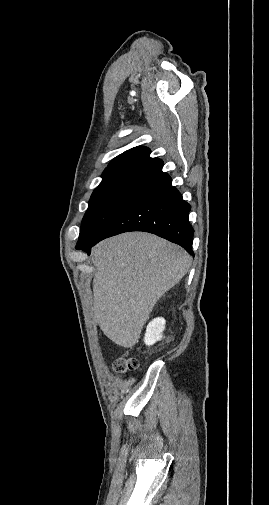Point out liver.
<instances>
[{
	"instance_id": "6515ba94",
	"label": "liver",
	"mask_w": 269,
	"mask_h": 505,
	"mask_svg": "<svg viewBox=\"0 0 269 505\" xmlns=\"http://www.w3.org/2000/svg\"><path fill=\"white\" fill-rule=\"evenodd\" d=\"M180 246L143 232L106 239L92 249L94 314L114 343L133 347L159 298L187 273Z\"/></svg>"
}]
</instances>
